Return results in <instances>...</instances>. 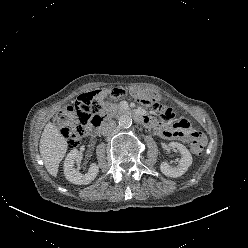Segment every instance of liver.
<instances>
[{"mask_svg": "<svg viewBox=\"0 0 248 248\" xmlns=\"http://www.w3.org/2000/svg\"><path fill=\"white\" fill-rule=\"evenodd\" d=\"M67 140L52 123H47L40 139V154L44 165L56 177L59 164L67 151Z\"/></svg>", "mask_w": 248, "mask_h": 248, "instance_id": "6515ba94", "label": "liver"}]
</instances>
